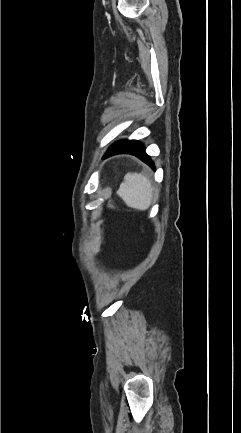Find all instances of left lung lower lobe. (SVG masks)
<instances>
[{"label":"left lung lower lobe","mask_w":241,"mask_h":433,"mask_svg":"<svg viewBox=\"0 0 241 433\" xmlns=\"http://www.w3.org/2000/svg\"><path fill=\"white\" fill-rule=\"evenodd\" d=\"M119 153H130L135 155L136 157L140 158L143 162L148 164L151 168L155 169L154 163L151 160L150 156H148L145 152V147L142 143L135 141L127 146H121L117 147L115 149H112L110 151H107L105 154V157L119 154Z\"/></svg>","instance_id":"0a47b994"}]
</instances>
